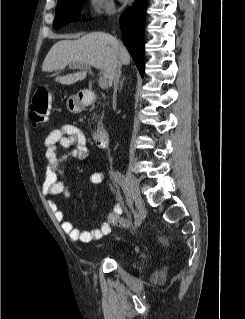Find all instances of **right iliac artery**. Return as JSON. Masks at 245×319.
<instances>
[{
	"label": "right iliac artery",
	"instance_id": "right-iliac-artery-1",
	"mask_svg": "<svg viewBox=\"0 0 245 319\" xmlns=\"http://www.w3.org/2000/svg\"><path fill=\"white\" fill-rule=\"evenodd\" d=\"M113 177H114L115 181L122 187V189H123V191H124V193L126 195V189H128V188L126 187V182H125L124 175H122L118 171H115V172H113ZM126 200H127V203H128V206L130 207V209L132 211H134L132 197L130 195H126ZM134 216L136 218L135 225L139 226L140 225V221L138 219V215H137L136 212H134Z\"/></svg>",
	"mask_w": 245,
	"mask_h": 319
}]
</instances>
